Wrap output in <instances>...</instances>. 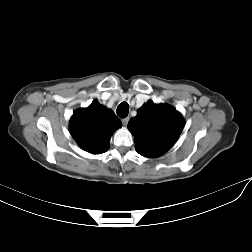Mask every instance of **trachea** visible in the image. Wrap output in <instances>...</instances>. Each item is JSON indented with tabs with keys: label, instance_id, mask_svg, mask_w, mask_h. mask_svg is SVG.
Listing matches in <instances>:
<instances>
[{
	"label": "trachea",
	"instance_id": "1",
	"mask_svg": "<svg viewBox=\"0 0 252 252\" xmlns=\"http://www.w3.org/2000/svg\"><path fill=\"white\" fill-rule=\"evenodd\" d=\"M129 113V105L127 102H122L117 107V115L121 118H125Z\"/></svg>",
	"mask_w": 252,
	"mask_h": 252
}]
</instances>
